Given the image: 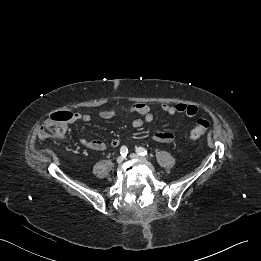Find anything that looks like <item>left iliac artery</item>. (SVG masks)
I'll list each match as a JSON object with an SVG mask.
<instances>
[{
    "mask_svg": "<svg viewBox=\"0 0 261 261\" xmlns=\"http://www.w3.org/2000/svg\"><path fill=\"white\" fill-rule=\"evenodd\" d=\"M136 152L139 154V155H142V156H145L148 154L147 150L143 147H138L136 148Z\"/></svg>",
    "mask_w": 261,
    "mask_h": 261,
    "instance_id": "44dca946",
    "label": "left iliac artery"
}]
</instances>
